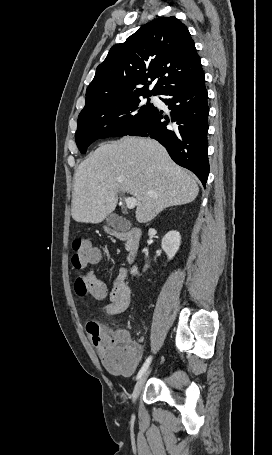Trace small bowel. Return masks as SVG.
I'll list each match as a JSON object with an SVG mask.
<instances>
[{"label": "small bowel", "mask_w": 272, "mask_h": 455, "mask_svg": "<svg viewBox=\"0 0 272 455\" xmlns=\"http://www.w3.org/2000/svg\"><path fill=\"white\" fill-rule=\"evenodd\" d=\"M126 277V271L124 269H121L118 276L112 283L109 293V303L103 307V310L106 314L112 316L119 315L128 309L131 301V290L126 281ZM115 335L127 342L130 341V334L126 330L120 329L116 332ZM134 347L136 350L135 359L132 365L127 370L123 371L125 375H130L135 371L142 356V347L139 344H134Z\"/></svg>", "instance_id": "obj_1"}]
</instances>
